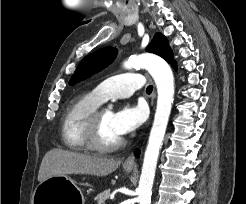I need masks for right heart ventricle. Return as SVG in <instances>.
<instances>
[{"instance_id": "obj_1", "label": "right heart ventricle", "mask_w": 246, "mask_h": 204, "mask_svg": "<svg viewBox=\"0 0 246 204\" xmlns=\"http://www.w3.org/2000/svg\"><path fill=\"white\" fill-rule=\"evenodd\" d=\"M101 101L88 93L76 97L69 104L62 121V139L64 144L76 151L89 149L85 141V130L92 114Z\"/></svg>"}]
</instances>
